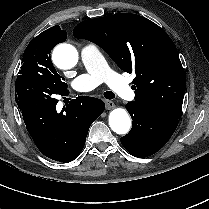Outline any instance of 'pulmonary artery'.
Segmentation results:
<instances>
[{"label": "pulmonary artery", "instance_id": "e3ab8cb5", "mask_svg": "<svg viewBox=\"0 0 209 209\" xmlns=\"http://www.w3.org/2000/svg\"><path fill=\"white\" fill-rule=\"evenodd\" d=\"M80 58L86 73L73 80L72 88L74 90L86 93L92 91L101 82H106L120 98L125 100L134 99V92L121 77L108 68L96 44L88 43L84 45L80 50Z\"/></svg>", "mask_w": 209, "mask_h": 209}]
</instances>
